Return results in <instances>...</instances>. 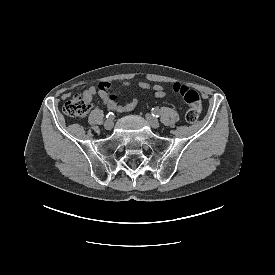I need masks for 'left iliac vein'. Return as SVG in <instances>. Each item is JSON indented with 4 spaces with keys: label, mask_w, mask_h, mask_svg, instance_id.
Listing matches in <instances>:
<instances>
[{
    "label": "left iliac vein",
    "mask_w": 275,
    "mask_h": 275,
    "mask_svg": "<svg viewBox=\"0 0 275 275\" xmlns=\"http://www.w3.org/2000/svg\"><path fill=\"white\" fill-rule=\"evenodd\" d=\"M146 120L150 124V126L154 129L159 128V121L151 114H146Z\"/></svg>",
    "instance_id": "1"
}]
</instances>
